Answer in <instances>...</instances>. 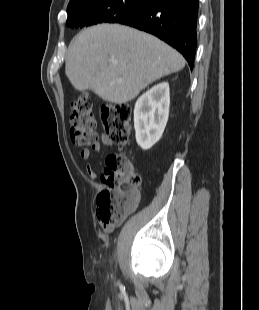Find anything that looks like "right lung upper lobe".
<instances>
[{
  "mask_svg": "<svg viewBox=\"0 0 259 310\" xmlns=\"http://www.w3.org/2000/svg\"><path fill=\"white\" fill-rule=\"evenodd\" d=\"M98 1H101V0H70L67 9H73V8H78V7L85 6V5H90Z\"/></svg>",
  "mask_w": 259,
  "mask_h": 310,
  "instance_id": "right-lung-upper-lobe-1",
  "label": "right lung upper lobe"
}]
</instances>
